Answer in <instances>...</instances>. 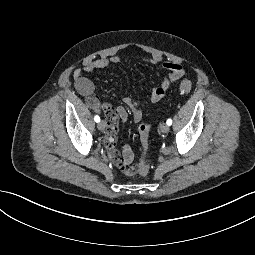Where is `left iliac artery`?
Here are the masks:
<instances>
[{
  "instance_id": "obj_1",
  "label": "left iliac artery",
  "mask_w": 255,
  "mask_h": 255,
  "mask_svg": "<svg viewBox=\"0 0 255 255\" xmlns=\"http://www.w3.org/2000/svg\"><path fill=\"white\" fill-rule=\"evenodd\" d=\"M166 123H167L168 125H171V124H172V120H171V119H168Z\"/></svg>"
}]
</instances>
